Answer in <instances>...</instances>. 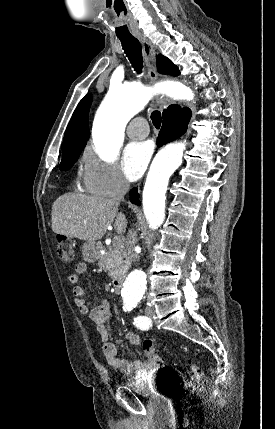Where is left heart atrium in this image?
<instances>
[{"mask_svg":"<svg viewBox=\"0 0 275 429\" xmlns=\"http://www.w3.org/2000/svg\"><path fill=\"white\" fill-rule=\"evenodd\" d=\"M152 154L150 142H131L124 149L122 170L130 181H135L144 173Z\"/></svg>","mask_w":275,"mask_h":429,"instance_id":"39dd6f15","label":"left heart atrium"}]
</instances>
